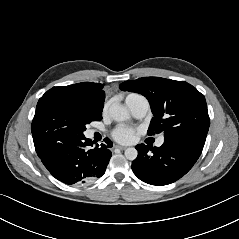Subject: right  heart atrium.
<instances>
[{
    "instance_id": "1",
    "label": "right heart atrium",
    "mask_w": 239,
    "mask_h": 239,
    "mask_svg": "<svg viewBox=\"0 0 239 239\" xmlns=\"http://www.w3.org/2000/svg\"><path fill=\"white\" fill-rule=\"evenodd\" d=\"M107 110H108V105L106 104V105L104 106L103 112L106 113Z\"/></svg>"
}]
</instances>
